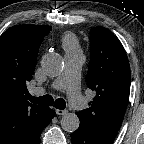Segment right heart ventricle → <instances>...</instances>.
<instances>
[{"instance_id": "obj_1", "label": "right heart ventricle", "mask_w": 144, "mask_h": 144, "mask_svg": "<svg viewBox=\"0 0 144 144\" xmlns=\"http://www.w3.org/2000/svg\"><path fill=\"white\" fill-rule=\"evenodd\" d=\"M62 47L67 53H76L80 51V45L77 37L72 33H66L61 40Z\"/></svg>"}]
</instances>
